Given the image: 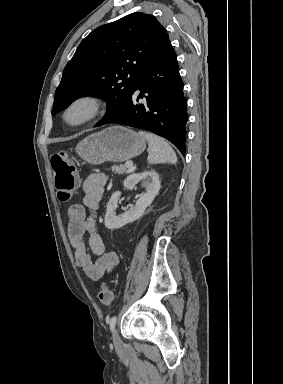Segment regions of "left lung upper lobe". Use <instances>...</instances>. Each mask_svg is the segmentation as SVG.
Segmentation results:
<instances>
[{
    "mask_svg": "<svg viewBox=\"0 0 283 384\" xmlns=\"http://www.w3.org/2000/svg\"><path fill=\"white\" fill-rule=\"evenodd\" d=\"M169 43L158 20L141 12L96 28L64 68L52 114L78 97L93 95L108 101L99 123L106 122L126 107L138 79Z\"/></svg>",
    "mask_w": 283,
    "mask_h": 384,
    "instance_id": "5c2ea615",
    "label": "left lung upper lobe"
}]
</instances>
